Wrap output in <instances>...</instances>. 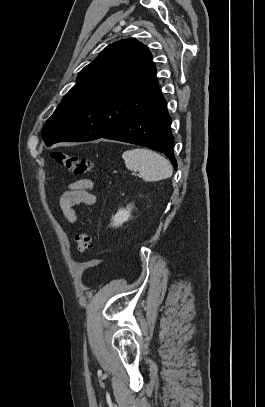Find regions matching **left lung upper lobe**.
Returning a JSON list of instances; mask_svg holds the SVG:
<instances>
[{
  "mask_svg": "<svg viewBox=\"0 0 265 407\" xmlns=\"http://www.w3.org/2000/svg\"><path fill=\"white\" fill-rule=\"evenodd\" d=\"M150 51L137 40L107 46L85 66L77 83L47 120V146L102 138L161 97Z\"/></svg>",
  "mask_w": 265,
  "mask_h": 407,
  "instance_id": "5c2ea615",
  "label": "left lung upper lobe"
}]
</instances>
